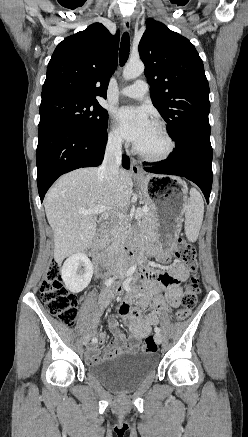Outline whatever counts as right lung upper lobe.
Instances as JSON below:
<instances>
[{"label":"right lung upper lobe","instance_id":"cb5924a9","mask_svg":"<svg viewBox=\"0 0 248 437\" xmlns=\"http://www.w3.org/2000/svg\"><path fill=\"white\" fill-rule=\"evenodd\" d=\"M119 34L101 23L65 38L47 67L42 97L65 94L95 101L106 98L108 81L118 61Z\"/></svg>","mask_w":248,"mask_h":437}]
</instances>
